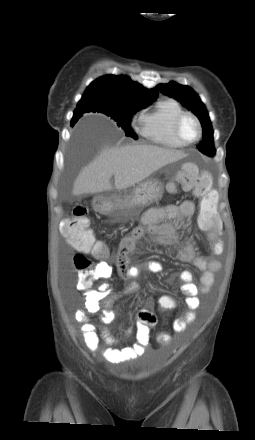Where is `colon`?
I'll return each instance as SVG.
<instances>
[{
	"mask_svg": "<svg viewBox=\"0 0 255 440\" xmlns=\"http://www.w3.org/2000/svg\"><path fill=\"white\" fill-rule=\"evenodd\" d=\"M174 183L179 184L184 190L191 191L199 199L200 222L209 227L217 216L218 194L212 189V178L209 172L200 171L196 166L187 164L177 173ZM173 190V185H170ZM61 232L68 244L76 250L73 258L74 267L80 274L77 286L82 290L87 289L95 280L100 279L101 273L98 265L85 255L93 251L96 255L104 256L107 251L103 243L96 240L90 228L88 210L85 207H75L72 214L65 218L60 225ZM157 305L161 311H176L177 298H157ZM161 346H171L172 339L163 331L157 335Z\"/></svg>",
	"mask_w": 255,
	"mask_h": 440,
	"instance_id": "obj_1",
	"label": "colon"
}]
</instances>
